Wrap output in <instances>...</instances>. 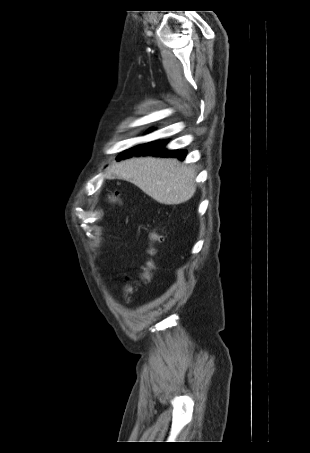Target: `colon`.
Segmentation results:
<instances>
[{"mask_svg": "<svg viewBox=\"0 0 310 453\" xmlns=\"http://www.w3.org/2000/svg\"><path fill=\"white\" fill-rule=\"evenodd\" d=\"M108 199L111 202H114V203H120L121 202V199H120V196H119L118 193L109 196ZM150 239H151V242L154 243V242L159 241L160 237H159V235L156 232H152L151 235H150ZM149 253L151 255L156 253V248L153 245H151L149 247ZM153 269H154L153 261L152 260H148L146 262V265H145L142 273L140 274V280L141 281H149L151 279V273H152Z\"/></svg>", "mask_w": 310, "mask_h": 453, "instance_id": "obj_1", "label": "colon"}]
</instances>
